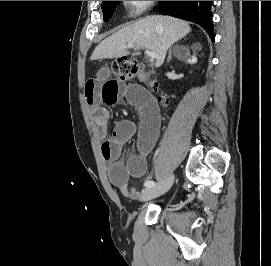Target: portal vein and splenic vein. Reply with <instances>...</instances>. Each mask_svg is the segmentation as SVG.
Here are the masks:
<instances>
[{
    "instance_id": "obj_1",
    "label": "portal vein and splenic vein",
    "mask_w": 271,
    "mask_h": 266,
    "mask_svg": "<svg viewBox=\"0 0 271 266\" xmlns=\"http://www.w3.org/2000/svg\"><path fill=\"white\" fill-rule=\"evenodd\" d=\"M124 48H134V45H133V44H128V45H125ZM145 53H146L151 59H155V58L157 57V54H156V52H154V51L146 50Z\"/></svg>"
}]
</instances>
